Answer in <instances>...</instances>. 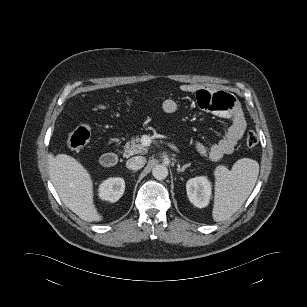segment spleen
<instances>
[{"label":"spleen","mask_w":307,"mask_h":307,"mask_svg":"<svg viewBox=\"0 0 307 307\" xmlns=\"http://www.w3.org/2000/svg\"><path fill=\"white\" fill-rule=\"evenodd\" d=\"M258 174V162L249 158L239 159L231 170L225 166L215 169L214 221L227 220L241 208L251 194Z\"/></svg>","instance_id":"spleen-1"}]
</instances>
